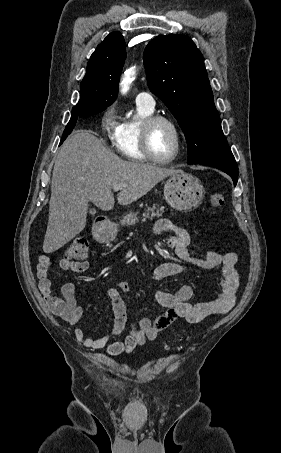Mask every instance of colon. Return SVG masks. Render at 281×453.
<instances>
[{
	"label": "colon",
	"instance_id": "obj_1",
	"mask_svg": "<svg viewBox=\"0 0 281 453\" xmlns=\"http://www.w3.org/2000/svg\"><path fill=\"white\" fill-rule=\"evenodd\" d=\"M208 203L210 208L214 210L221 209L224 206V197L222 193H213L208 196ZM88 255V242L85 238H74L68 244L67 250L64 254L65 262H87Z\"/></svg>",
	"mask_w": 281,
	"mask_h": 453
}]
</instances>
